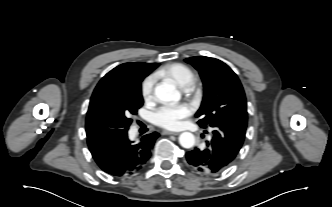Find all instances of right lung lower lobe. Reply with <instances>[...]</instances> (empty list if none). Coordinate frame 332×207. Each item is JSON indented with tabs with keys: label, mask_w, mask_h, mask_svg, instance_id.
Masks as SVG:
<instances>
[{
	"label": "right lung lower lobe",
	"mask_w": 332,
	"mask_h": 207,
	"mask_svg": "<svg viewBox=\"0 0 332 207\" xmlns=\"http://www.w3.org/2000/svg\"><path fill=\"white\" fill-rule=\"evenodd\" d=\"M127 131L110 130L87 137L89 150L98 166L115 177L139 171L150 158L151 149L159 137L153 132L134 143L129 140Z\"/></svg>",
	"instance_id": "1"
}]
</instances>
